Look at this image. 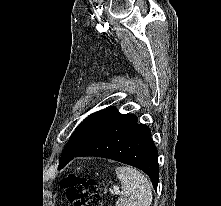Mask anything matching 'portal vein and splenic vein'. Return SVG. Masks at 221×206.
Instances as JSON below:
<instances>
[{"label":"portal vein and splenic vein","mask_w":221,"mask_h":206,"mask_svg":"<svg viewBox=\"0 0 221 206\" xmlns=\"http://www.w3.org/2000/svg\"><path fill=\"white\" fill-rule=\"evenodd\" d=\"M112 192L115 193V194H119L120 190L117 186H114Z\"/></svg>","instance_id":"18ae733b"}]
</instances>
